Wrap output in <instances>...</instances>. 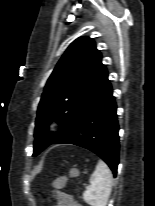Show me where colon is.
<instances>
[{"label": "colon", "instance_id": "colon-1", "mask_svg": "<svg viewBox=\"0 0 155 206\" xmlns=\"http://www.w3.org/2000/svg\"><path fill=\"white\" fill-rule=\"evenodd\" d=\"M63 182H64V179H59V180H57L56 182H55V185L57 186V187H60L62 184H63ZM80 206V205H79Z\"/></svg>", "mask_w": 155, "mask_h": 206}]
</instances>
